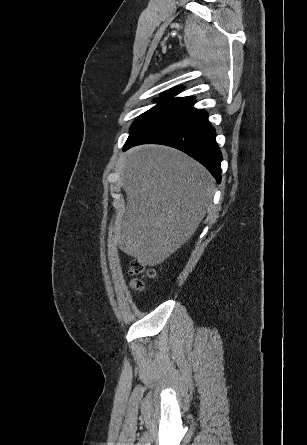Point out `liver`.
I'll list each match as a JSON object with an SVG mask.
<instances>
[{
	"label": "liver",
	"mask_w": 307,
	"mask_h": 445,
	"mask_svg": "<svg viewBox=\"0 0 307 445\" xmlns=\"http://www.w3.org/2000/svg\"><path fill=\"white\" fill-rule=\"evenodd\" d=\"M127 210L115 220L114 243L154 267L187 243L212 206L214 178L181 150L139 146L123 162Z\"/></svg>",
	"instance_id": "6515ba94"
}]
</instances>
